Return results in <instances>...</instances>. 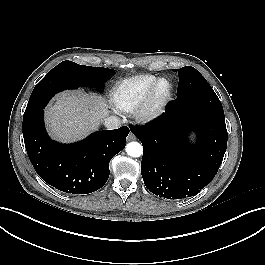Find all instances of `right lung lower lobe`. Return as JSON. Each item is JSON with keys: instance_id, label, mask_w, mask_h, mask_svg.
Segmentation results:
<instances>
[{"instance_id": "right-lung-lower-lobe-1", "label": "right lung lower lobe", "mask_w": 265, "mask_h": 265, "mask_svg": "<svg viewBox=\"0 0 265 265\" xmlns=\"http://www.w3.org/2000/svg\"><path fill=\"white\" fill-rule=\"evenodd\" d=\"M43 109L23 120V137L30 161L49 185L70 194H87L104 186L109 162L125 147L128 127L97 131L86 139L61 144L47 135Z\"/></svg>"}]
</instances>
